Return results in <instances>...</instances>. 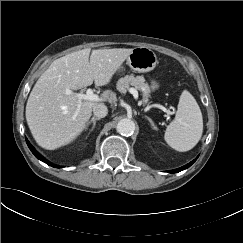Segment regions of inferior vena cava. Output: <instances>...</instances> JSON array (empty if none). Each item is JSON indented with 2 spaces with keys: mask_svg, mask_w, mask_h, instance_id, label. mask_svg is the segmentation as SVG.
<instances>
[{
  "mask_svg": "<svg viewBox=\"0 0 243 243\" xmlns=\"http://www.w3.org/2000/svg\"><path fill=\"white\" fill-rule=\"evenodd\" d=\"M108 113V109L103 104H98L93 107V114L97 118H104Z\"/></svg>",
  "mask_w": 243,
  "mask_h": 243,
  "instance_id": "602c4592",
  "label": "inferior vena cava"
}]
</instances>
